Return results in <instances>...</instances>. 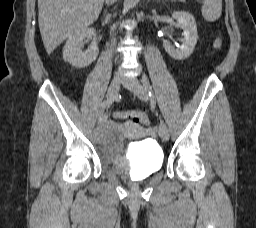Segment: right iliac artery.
<instances>
[{
	"label": "right iliac artery",
	"mask_w": 256,
	"mask_h": 228,
	"mask_svg": "<svg viewBox=\"0 0 256 228\" xmlns=\"http://www.w3.org/2000/svg\"><path fill=\"white\" fill-rule=\"evenodd\" d=\"M108 100L107 101H103L101 106H100V109H99V112H98V118L100 119L102 116H103V113H104V110L106 109V107L108 106Z\"/></svg>",
	"instance_id": "1"
}]
</instances>
